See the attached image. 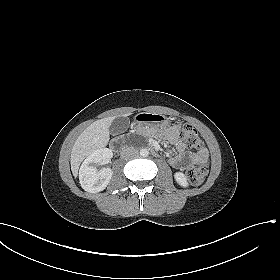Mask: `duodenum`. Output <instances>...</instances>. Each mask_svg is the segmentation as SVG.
<instances>
[{
    "instance_id": "410a0bca",
    "label": "duodenum",
    "mask_w": 280,
    "mask_h": 280,
    "mask_svg": "<svg viewBox=\"0 0 280 280\" xmlns=\"http://www.w3.org/2000/svg\"><path fill=\"white\" fill-rule=\"evenodd\" d=\"M112 148L114 150H119V149H123L124 145L122 144V141L120 139H116L115 141H113L112 143Z\"/></svg>"
}]
</instances>
